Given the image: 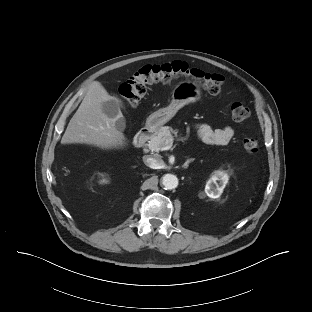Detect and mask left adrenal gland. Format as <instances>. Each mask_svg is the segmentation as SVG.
I'll use <instances>...</instances> for the list:
<instances>
[{"label": "left adrenal gland", "mask_w": 312, "mask_h": 312, "mask_svg": "<svg viewBox=\"0 0 312 312\" xmlns=\"http://www.w3.org/2000/svg\"><path fill=\"white\" fill-rule=\"evenodd\" d=\"M193 160H194V159H189V160H187V161L184 163L183 168H185V169L188 168L189 163H191Z\"/></svg>", "instance_id": "a2214340"}]
</instances>
